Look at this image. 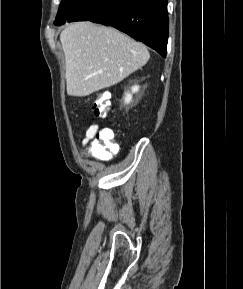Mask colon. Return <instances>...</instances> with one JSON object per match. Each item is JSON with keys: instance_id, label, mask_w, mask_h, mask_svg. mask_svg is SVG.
I'll return each instance as SVG.
<instances>
[{"instance_id": "obj_1", "label": "colon", "mask_w": 243, "mask_h": 289, "mask_svg": "<svg viewBox=\"0 0 243 289\" xmlns=\"http://www.w3.org/2000/svg\"><path fill=\"white\" fill-rule=\"evenodd\" d=\"M92 110L96 116L102 118L106 117L110 110V100L107 92L96 93ZM117 149L118 144L115 141L113 131L109 128H105L88 144L86 154L101 160H109Z\"/></svg>"}]
</instances>
